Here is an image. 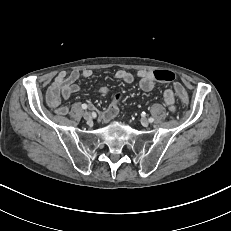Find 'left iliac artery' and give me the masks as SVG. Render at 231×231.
Wrapping results in <instances>:
<instances>
[{
	"instance_id": "left-iliac-artery-1",
	"label": "left iliac artery",
	"mask_w": 231,
	"mask_h": 231,
	"mask_svg": "<svg viewBox=\"0 0 231 231\" xmlns=\"http://www.w3.org/2000/svg\"><path fill=\"white\" fill-rule=\"evenodd\" d=\"M149 122H150V123L154 122V118L150 117V118H149Z\"/></svg>"
}]
</instances>
